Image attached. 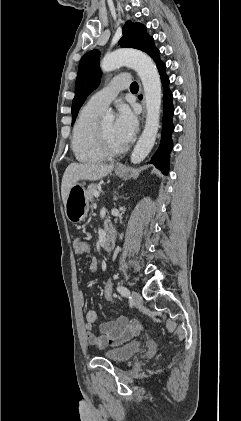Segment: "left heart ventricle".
<instances>
[{
	"label": "left heart ventricle",
	"mask_w": 241,
	"mask_h": 421,
	"mask_svg": "<svg viewBox=\"0 0 241 421\" xmlns=\"http://www.w3.org/2000/svg\"><path fill=\"white\" fill-rule=\"evenodd\" d=\"M107 141L109 144L114 148L122 147L123 144L117 139L115 135L114 130V123L113 122H107L100 125Z\"/></svg>",
	"instance_id": "left-heart-ventricle-1"
}]
</instances>
